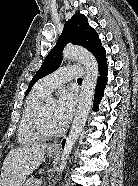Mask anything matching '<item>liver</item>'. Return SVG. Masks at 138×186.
<instances>
[{"label": "liver", "instance_id": "liver-1", "mask_svg": "<svg viewBox=\"0 0 138 186\" xmlns=\"http://www.w3.org/2000/svg\"><path fill=\"white\" fill-rule=\"evenodd\" d=\"M47 148V144H37L11 149L3 162L0 186H21L42 163Z\"/></svg>", "mask_w": 138, "mask_h": 186}]
</instances>
